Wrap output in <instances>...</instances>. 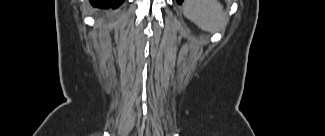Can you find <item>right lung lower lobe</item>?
I'll return each mask as SVG.
<instances>
[{
	"mask_svg": "<svg viewBox=\"0 0 325 136\" xmlns=\"http://www.w3.org/2000/svg\"><path fill=\"white\" fill-rule=\"evenodd\" d=\"M124 0H91L92 4L98 7L117 8Z\"/></svg>",
	"mask_w": 325,
	"mask_h": 136,
	"instance_id": "right-lung-lower-lobe-1",
	"label": "right lung lower lobe"
}]
</instances>
